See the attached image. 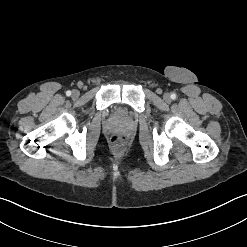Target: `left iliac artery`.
<instances>
[{
	"mask_svg": "<svg viewBox=\"0 0 247 247\" xmlns=\"http://www.w3.org/2000/svg\"><path fill=\"white\" fill-rule=\"evenodd\" d=\"M176 97H177V96H176V94H174V93H173V94H171V99L175 100V99H176Z\"/></svg>",
	"mask_w": 247,
	"mask_h": 247,
	"instance_id": "obj_1",
	"label": "left iliac artery"
}]
</instances>
